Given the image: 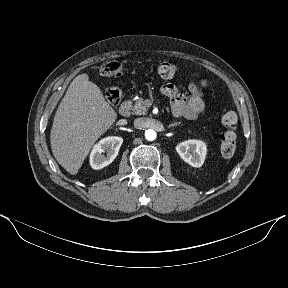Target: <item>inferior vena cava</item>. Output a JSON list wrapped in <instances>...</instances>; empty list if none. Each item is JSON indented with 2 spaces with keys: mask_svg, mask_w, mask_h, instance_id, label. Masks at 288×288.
Masks as SVG:
<instances>
[{
  "mask_svg": "<svg viewBox=\"0 0 288 288\" xmlns=\"http://www.w3.org/2000/svg\"><path fill=\"white\" fill-rule=\"evenodd\" d=\"M136 127L150 128L160 130L163 127V124L158 119L153 118H137L134 121Z\"/></svg>",
  "mask_w": 288,
  "mask_h": 288,
  "instance_id": "602c4592",
  "label": "inferior vena cava"
}]
</instances>
